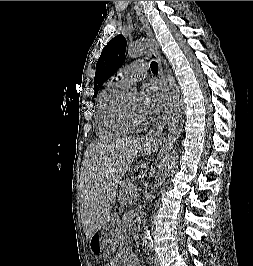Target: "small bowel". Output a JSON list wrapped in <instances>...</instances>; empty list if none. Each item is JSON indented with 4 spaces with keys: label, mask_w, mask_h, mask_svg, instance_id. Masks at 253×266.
I'll return each mask as SVG.
<instances>
[{
    "label": "small bowel",
    "mask_w": 253,
    "mask_h": 266,
    "mask_svg": "<svg viewBox=\"0 0 253 266\" xmlns=\"http://www.w3.org/2000/svg\"><path fill=\"white\" fill-rule=\"evenodd\" d=\"M106 266H139V263L132 253L118 251L114 259Z\"/></svg>",
    "instance_id": "obj_1"
}]
</instances>
